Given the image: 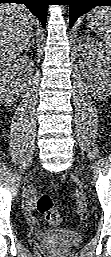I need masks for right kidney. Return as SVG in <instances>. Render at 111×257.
I'll return each mask as SVG.
<instances>
[{
    "instance_id": "ca27d5eb",
    "label": "right kidney",
    "mask_w": 111,
    "mask_h": 257,
    "mask_svg": "<svg viewBox=\"0 0 111 257\" xmlns=\"http://www.w3.org/2000/svg\"><path fill=\"white\" fill-rule=\"evenodd\" d=\"M34 62L28 56L15 58L1 70V101L10 105L23 92L33 76Z\"/></svg>"
}]
</instances>
